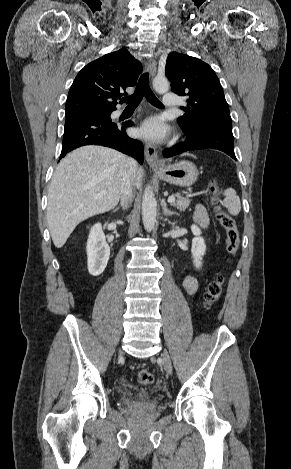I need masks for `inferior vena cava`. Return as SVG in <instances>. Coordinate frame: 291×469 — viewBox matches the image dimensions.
<instances>
[{"mask_svg":"<svg viewBox=\"0 0 291 469\" xmlns=\"http://www.w3.org/2000/svg\"><path fill=\"white\" fill-rule=\"evenodd\" d=\"M136 170L137 162L132 158H128L120 189L121 205L123 208H127L134 198Z\"/></svg>","mask_w":291,"mask_h":469,"instance_id":"602c4592","label":"inferior vena cava"}]
</instances>
